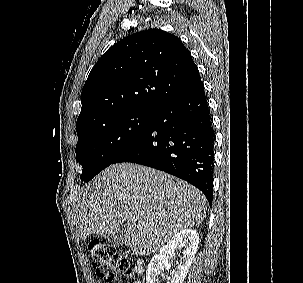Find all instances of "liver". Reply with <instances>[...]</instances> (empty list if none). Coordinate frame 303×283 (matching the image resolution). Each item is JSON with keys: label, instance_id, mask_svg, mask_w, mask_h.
I'll use <instances>...</instances> for the list:
<instances>
[{"label": "liver", "instance_id": "1", "mask_svg": "<svg viewBox=\"0 0 303 283\" xmlns=\"http://www.w3.org/2000/svg\"><path fill=\"white\" fill-rule=\"evenodd\" d=\"M75 196L73 224L81 240L115 235L127 221L122 244L139 255L158 251L206 216V198L197 188L132 163L110 165Z\"/></svg>", "mask_w": 303, "mask_h": 283}]
</instances>
